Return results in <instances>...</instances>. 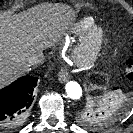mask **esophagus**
<instances>
[{
  "label": "esophagus",
  "instance_id": "34e87169",
  "mask_svg": "<svg viewBox=\"0 0 133 133\" xmlns=\"http://www.w3.org/2000/svg\"><path fill=\"white\" fill-rule=\"evenodd\" d=\"M70 78V75H69V72L67 69H61V71L59 72L58 74V80L61 82V83H65L69 80Z\"/></svg>",
  "mask_w": 133,
  "mask_h": 133
}]
</instances>
